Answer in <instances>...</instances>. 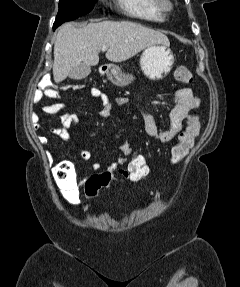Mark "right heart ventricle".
Here are the masks:
<instances>
[{"label": "right heart ventricle", "mask_w": 240, "mask_h": 287, "mask_svg": "<svg viewBox=\"0 0 240 287\" xmlns=\"http://www.w3.org/2000/svg\"><path fill=\"white\" fill-rule=\"evenodd\" d=\"M119 9L127 16L146 21H161L163 13L156 0H115Z\"/></svg>", "instance_id": "e07e8e85"}]
</instances>
